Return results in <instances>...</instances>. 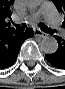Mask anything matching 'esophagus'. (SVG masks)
I'll return each instance as SVG.
<instances>
[{
	"label": "esophagus",
	"instance_id": "obj_1",
	"mask_svg": "<svg viewBox=\"0 0 65 89\" xmlns=\"http://www.w3.org/2000/svg\"><path fill=\"white\" fill-rule=\"evenodd\" d=\"M34 35H35V36H38V37H40V38H45V37H47V34L44 33V32H42V31H40V30H34Z\"/></svg>",
	"mask_w": 65,
	"mask_h": 89
}]
</instances>
